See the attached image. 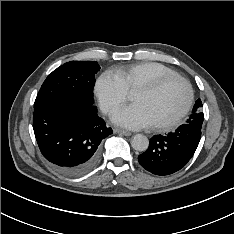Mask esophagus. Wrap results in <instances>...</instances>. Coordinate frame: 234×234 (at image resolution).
I'll use <instances>...</instances> for the list:
<instances>
[{
    "instance_id": "esophagus-1",
    "label": "esophagus",
    "mask_w": 234,
    "mask_h": 234,
    "mask_svg": "<svg viewBox=\"0 0 234 234\" xmlns=\"http://www.w3.org/2000/svg\"><path fill=\"white\" fill-rule=\"evenodd\" d=\"M114 132L118 133V134H122L124 136H130L132 134L131 132H128V131H125V130H121V129H114Z\"/></svg>"
}]
</instances>
